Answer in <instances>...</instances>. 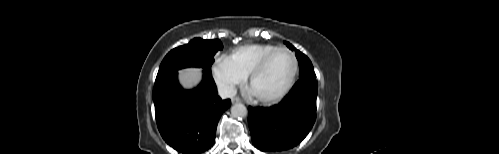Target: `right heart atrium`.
<instances>
[{
	"label": "right heart atrium",
	"instance_id": "obj_1",
	"mask_svg": "<svg viewBox=\"0 0 499 154\" xmlns=\"http://www.w3.org/2000/svg\"><path fill=\"white\" fill-rule=\"evenodd\" d=\"M213 80L224 95H232L235 87L246 80L243 74L227 56L217 57L211 67Z\"/></svg>",
	"mask_w": 499,
	"mask_h": 154
}]
</instances>
